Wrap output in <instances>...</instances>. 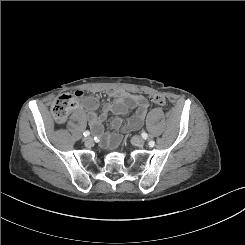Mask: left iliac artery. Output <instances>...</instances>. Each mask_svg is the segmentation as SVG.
Segmentation results:
<instances>
[{"label": "left iliac artery", "instance_id": "1", "mask_svg": "<svg viewBox=\"0 0 245 245\" xmlns=\"http://www.w3.org/2000/svg\"><path fill=\"white\" fill-rule=\"evenodd\" d=\"M142 136H143L144 139H146V137H147V135H146L145 133H144ZM154 145H155V142H154L153 140H151V141L149 142V146H150V147H153Z\"/></svg>", "mask_w": 245, "mask_h": 245}]
</instances>
